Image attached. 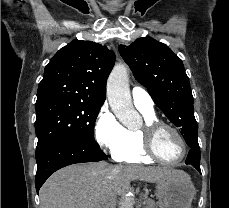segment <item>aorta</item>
<instances>
[{"mask_svg":"<svg viewBox=\"0 0 229 208\" xmlns=\"http://www.w3.org/2000/svg\"><path fill=\"white\" fill-rule=\"evenodd\" d=\"M107 97L109 105L118 120L128 128H135L141 122V117L135 110L130 89L127 67L117 64L107 81ZM133 198L125 195L120 203V208H133Z\"/></svg>","mask_w":229,"mask_h":208,"instance_id":"1","label":"aorta"}]
</instances>
